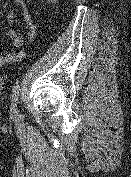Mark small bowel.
<instances>
[{
  "label": "small bowel",
  "instance_id": "c3829d8e",
  "mask_svg": "<svg viewBox=\"0 0 131 177\" xmlns=\"http://www.w3.org/2000/svg\"><path fill=\"white\" fill-rule=\"evenodd\" d=\"M14 4L20 8L22 15L24 17L25 23L28 28V38L31 39L36 33L35 20L37 13H31L26 6L25 0H13ZM8 20L10 21V28L7 31V36L10 38L14 51L9 52L5 55L0 54V66L7 62L17 61L23 58L24 53L20 50L23 44V38L19 34L16 25L14 24V13L10 11L7 15Z\"/></svg>",
  "mask_w": 131,
  "mask_h": 177
}]
</instances>
